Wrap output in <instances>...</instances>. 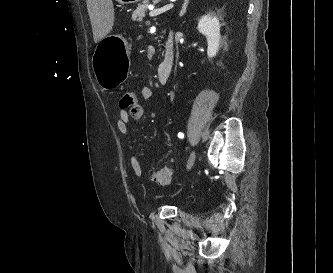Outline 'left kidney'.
Here are the masks:
<instances>
[{"label":"left kidney","instance_id":"1","mask_svg":"<svg viewBox=\"0 0 333 273\" xmlns=\"http://www.w3.org/2000/svg\"><path fill=\"white\" fill-rule=\"evenodd\" d=\"M220 22L213 14L204 15L198 22V31L206 36L208 58L215 57L220 45Z\"/></svg>","mask_w":333,"mask_h":273}]
</instances>
